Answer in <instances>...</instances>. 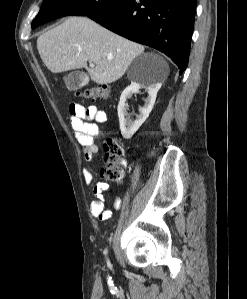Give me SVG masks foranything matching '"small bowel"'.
Returning <instances> with one entry per match:
<instances>
[{
	"instance_id": "1",
	"label": "small bowel",
	"mask_w": 247,
	"mask_h": 299,
	"mask_svg": "<svg viewBox=\"0 0 247 299\" xmlns=\"http://www.w3.org/2000/svg\"><path fill=\"white\" fill-rule=\"evenodd\" d=\"M69 114L75 138L84 148V158L91 162L99 149L95 141L100 135L99 125L107 122L108 115L95 105L85 107L77 103L70 105ZM83 177L87 184L93 181V174L87 168L83 169ZM108 189L109 185L103 181L97 182L93 188L95 199L90 205V210L92 215L100 221L109 220L112 216V212L105 209L104 204V193ZM120 205L121 200L117 197L114 202L115 209H119Z\"/></svg>"
}]
</instances>
